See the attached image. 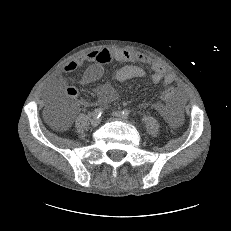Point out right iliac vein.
Listing matches in <instances>:
<instances>
[{"label": "right iliac vein", "instance_id": "1", "mask_svg": "<svg viewBox=\"0 0 231 231\" xmlns=\"http://www.w3.org/2000/svg\"><path fill=\"white\" fill-rule=\"evenodd\" d=\"M101 119L100 118H93L91 121L92 126L96 127L100 124Z\"/></svg>", "mask_w": 231, "mask_h": 231}]
</instances>
